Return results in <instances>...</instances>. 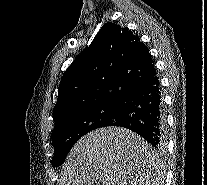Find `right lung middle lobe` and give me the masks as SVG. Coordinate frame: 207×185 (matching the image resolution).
Masks as SVG:
<instances>
[{"instance_id": "1", "label": "right lung middle lobe", "mask_w": 207, "mask_h": 185, "mask_svg": "<svg viewBox=\"0 0 207 185\" xmlns=\"http://www.w3.org/2000/svg\"><path fill=\"white\" fill-rule=\"evenodd\" d=\"M120 104L110 103L69 116L55 124L52 132V166H60L72 146L85 134L115 121Z\"/></svg>"}]
</instances>
